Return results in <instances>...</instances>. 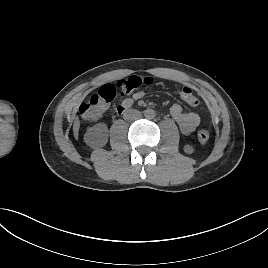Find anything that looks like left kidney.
<instances>
[{"label":"left kidney","instance_id":"left-kidney-1","mask_svg":"<svg viewBox=\"0 0 268 268\" xmlns=\"http://www.w3.org/2000/svg\"><path fill=\"white\" fill-rule=\"evenodd\" d=\"M184 151L186 152V153H188V154H191V153H193L194 152V148L191 146V145H185L184 146Z\"/></svg>","mask_w":268,"mask_h":268}]
</instances>
